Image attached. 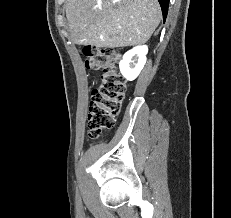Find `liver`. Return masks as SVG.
<instances>
[{"instance_id":"obj_1","label":"liver","mask_w":231,"mask_h":218,"mask_svg":"<svg viewBox=\"0 0 231 218\" xmlns=\"http://www.w3.org/2000/svg\"><path fill=\"white\" fill-rule=\"evenodd\" d=\"M162 17L157 0H67L66 18L77 45L117 48L149 40Z\"/></svg>"}]
</instances>
